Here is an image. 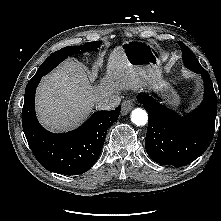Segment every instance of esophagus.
Returning a JSON list of instances; mask_svg holds the SVG:
<instances>
[{
    "instance_id": "esophagus-1",
    "label": "esophagus",
    "mask_w": 221,
    "mask_h": 221,
    "mask_svg": "<svg viewBox=\"0 0 221 221\" xmlns=\"http://www.w3.org/2000/svg\"><path fill=\"white\" fill-rule=\"evenodd\" d=\"M133 108V103L130 100H126L122 103V110H121V114L122 115H126L128 114Z\"/></svg>"
}]
</instances>
